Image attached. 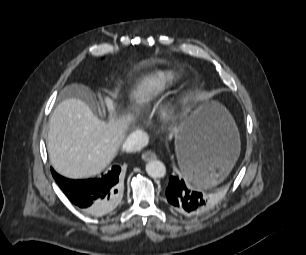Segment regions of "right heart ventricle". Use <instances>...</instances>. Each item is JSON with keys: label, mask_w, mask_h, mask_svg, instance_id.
Returning <instances> with one entry per match:
<instances>
[{"label": "right heart ventricle", "mask_w": 306, "mask_h": 255, "mask_svg": "<svg viewBox=\"0 0 306 255\" xmlns=\"http://www.w3.org/2000/svg\"><path fill=\"white\" fill-rule=\"evenodd\" d=\"M176 82L172 71H159L148 77L137 89L138 104L147 105Z\"/></svg>", "instance_id": "e07e8e85"}]
</instances>
